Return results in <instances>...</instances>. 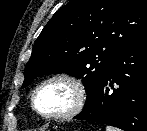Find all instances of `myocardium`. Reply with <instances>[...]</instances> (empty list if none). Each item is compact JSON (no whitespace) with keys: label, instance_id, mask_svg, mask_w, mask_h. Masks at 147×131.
I'll use <instances>...</instances> for the list:
<instances>
[{"label":"myocardium","instance_id":"obj_1","mask_svg":"<svg viewBox=\"0 0 147 131\" xmlns=\"http://www.w3.org/2000/svg\"><path fill=\"white\" fill-rule=\"evenodd\" d=\"M52 81H64L70 84L75 91V101L72 107L63 113L44 114L37 108L35 99L38 91ZM87 99L88 91L81 78L71 73H56L44 78L35 86L31 93V107L38 116L45 120H65L79 114L85 107Z\"/></svg>","mask_w":147,"mask_h":131}]
</instances>
